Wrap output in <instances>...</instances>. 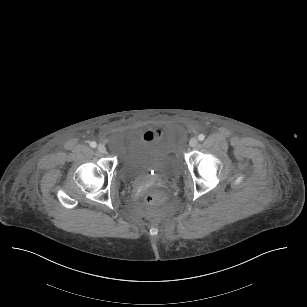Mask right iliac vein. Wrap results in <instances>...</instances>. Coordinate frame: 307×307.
Wrapping results in <instances>:
<instances>
[{"label": "right iliac vein", "instance_id": "right-iliac-vein-1", "mask_svg": "<svg viewBox=\"0 0 307 307\" xmlns=\"http://www.w3.org/2000/svg\"><path fill=\"white\" fill-rule=\"evenodd\" d=\"M98 152L100 153H105L106 152V147L103 144H99L97 147Z\"/></svg>", "mask_w": 307, "mask_h": 307}]
</instances>
